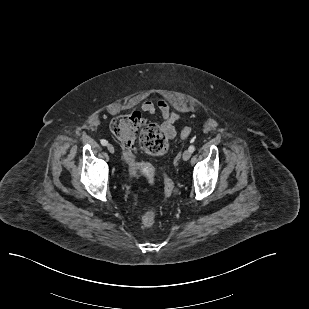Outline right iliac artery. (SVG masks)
<instances>
[{"instance_id":"obj_1","label":"right iliac artery","mask_w":309,"mask_h":309,"mask_svg":"<svg viewBox=\"0 0 309 309\" xmlns=\"http://www.w3.org/2000/svg\"><path fill=\"white\" fill-rule=\"evenodd\" d=\"M101 144H102L103 146H106V145L108 144V142H107L105 139H102V140H101Z\"/></svg>"}]
</instances>
